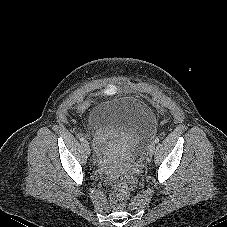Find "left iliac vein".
I'll list each match as a JSON object with an SVG mask.
<instances>
[{"mask_svg":"<svg viewBox=\"0 0 227 227\" xmlns=\"http://www.w3.org/2000/svg\"><path fill=\"white\" fill-rule=\"evenodd\" d=\"M154 152H155V144L153 143V144H151L150 147H149L148 154H149L150 156H152V155L154 154Z\"/></svg>","mask_w":227,"mask_h":227,"instance_id":"4c4485c4","label":"left iliac vein"}]
</instances>
